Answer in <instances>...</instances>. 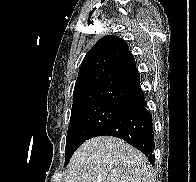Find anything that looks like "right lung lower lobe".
Here are the masks:
<instances>
[{"label": "right lung lower lobe", "mask_w": 196, "mask_h": 182, "mask_svg": "<svg viewBox=\"0 0 196 182\" xmlns=\"http://www.w3.org/2000/svg\"><path fill=\"white\" fill-rule=\"evenodd\" d=\"M114 136L139 149L154 165V131L152 116L147 110L144 96L128 112L101 128L94 137Z\"/></svg>", "instance_id": "obj_1"}]
</instances>
